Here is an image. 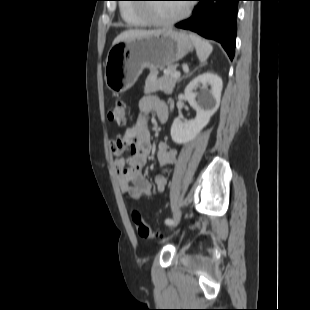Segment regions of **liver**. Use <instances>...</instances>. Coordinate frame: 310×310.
Here are the masks:
<instances>
[{"label":"liver","instance_id":"liver-1","mask_svg":"<svg viewBox=\"0 0 310 310\" xmlns=\"http://www.w3.org/2000/svg\"><path fill=\"white\" fill-rule=\"evenodd\" d=\"M161 31H163V30H150V31L137 30V29L126 30V31H123L122 33H120L114 39L112 45H115L121 41L135 39L137 37H145V36L153 35V34L161 32Z\"/></svg>","mask_w":310,"mask_h":310}]
</instances>
